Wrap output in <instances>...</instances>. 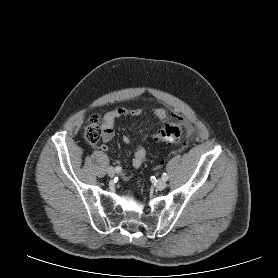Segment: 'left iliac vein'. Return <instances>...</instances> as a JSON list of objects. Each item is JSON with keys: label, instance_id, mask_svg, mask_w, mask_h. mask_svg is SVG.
Segmentation results:
<instances>
[{"label": "left iliac vein", "instance_id": "4c4485c4", "mask_svg": "<svg viewBox=\"0 0 278 278\" xmlns=\"http://www.w3.org/2000/svg\"><path fill=\"white\" fill-rule=\"evenodd\" d=\"M155 186L158 190H163L166 187V182L163 179H159L156 181Z\"/></svg>", "mask_w": 278, "mask_h": 278}]
</instances>
